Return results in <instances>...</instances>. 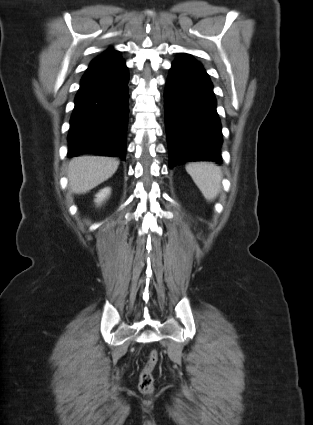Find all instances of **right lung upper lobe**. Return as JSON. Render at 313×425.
Returning a JSON list of instances; mask_svg holds the SVG:
<instances>
[{
	"label": "right lung upper lobe",
	"mask_w": 313,
	"mask_h": 425,
	"mask_svg": "<svg viewBox=\"0 0 313 425\" xmlns=\"http://www.w3.org/2000/svg\"><path fill=\"white\" fill-rule=\"evenodd\" d=\"M104 53L105 54H109V55H119V52L118 51H115V50H113L111 48L107 49Z\"/></svg>",
	"instance_id": "1"
}]
</instances>
